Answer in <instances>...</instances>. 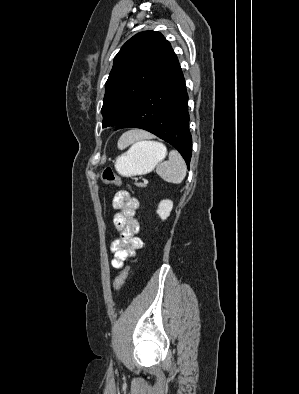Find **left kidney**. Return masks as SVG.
<instances>
[{
  "instance_id": "left-kidney-1",
  "label": "left kidney",
  "mask_w": 299,
  "mask_h": 394,
  "mask_svg": "<svg viewBox=\"0 0 299 394\" xmlns=\"http://www.w3.org/2000/svg\"><path fill=\"white\" fill-rule=\"evenodd\" d=\"M173 208V202L171 200H162L159 203L157 214L160 216L162 220H166L169 217L170 212Z\"/></svg>"
}]
</instances>
